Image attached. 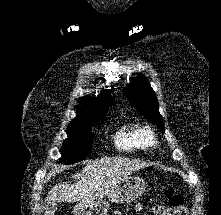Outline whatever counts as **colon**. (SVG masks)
Returning a JSON list of instances; mask_svg holds the SVG:
<instances>
[{
    "mask_svg": "<svg viewBox=\"0 0 221 215\" xmlns=\"http://www.w3.org/2000/svg\"><path fill=\"white\" fill-rule=\"evenodd\" d=\"M164 193L168 199V205H156L152 208L153 215H188L184 197L172 187L166 186Z\"/></svg>",
    "mask_w": 221,
    "mask_h": 215,
    "instance_id": "1",
    "label": "colon"
}]
</instances>
